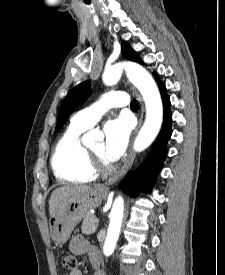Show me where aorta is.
<instances>
[{
    "mask_svg": "<svg viewBox=\"0 0 225 275\" xmlns=\"http://www.w3.org/2000/svg\"><path fill=\"white\" fill-rule=\"evenodd\" d=\"M123 70L126 72L129 81L140 91L145 102V122L134 141V150L136 152H141L154 141L161 129L163 122L162 100L158 87L152 76L145 68L136 63H120L105 69L103 73L104 84H116L121 78ZM91 141V133L86 134L84 136V144L88 145ZM123 213L124 200L121 196H118L114 200L109 214L110 223L103 246L105 256H109L114 252L120 234Z\"/></svg>",
    "mask_w": 225,
    "mask_h": 275,
    "instance_id": "1",
    "label": "aorta"
}]
</instances>
